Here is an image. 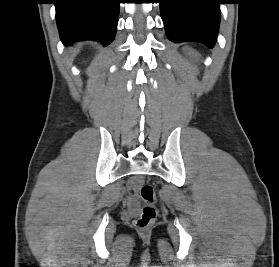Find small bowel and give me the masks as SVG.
Returning <instances> with one entry per match:
<instances>
[{
	"label": "small bowel",
	"instance_id": "obj_1",
	"mask_svg": "<svg viewBox=\"0 0 279 267\" xmlns=\"http://www.w3.org/2000/svg\"><path fill=\"white\" fill-rule=\"evenodd\" d=\"M139 181L138 180H133L130 184V192L131 194H134L136 189H137V185H138Z\"/></svg>",
	"mask_w": 279,
	"mask_h": 267
}]
</instances>
